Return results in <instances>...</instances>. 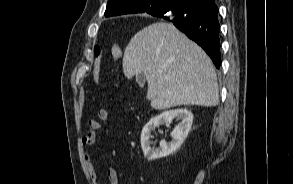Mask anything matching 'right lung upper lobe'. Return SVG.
<instances>
[{"label": "right lung upper lobe", "mask_w": 293, "mask_h": 184, "mask_svg": "<svg viewBox=\"0 0 293 184\" xmlns=\"http://www.w3.org/2000/svg\"><path fill=\"white\" fill-rule=\"evenodd\" d=\"M156 0H108L105 16H118L123 14L147 12L153 16L159 15L164 11L176 6L182 0H168L169 6L162 11H154L152 3ZM200 3V6L213 3L214 0H190Z\"/></svg>", "instance_id": "cb5924a9"}]
</instances>
